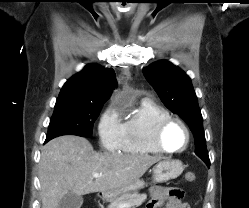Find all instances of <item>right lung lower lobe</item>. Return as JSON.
<instances>
[{
  "label": "right lung lower lobe",
  "instance_id": "1",
  "mask_svg": "<svg viewBox=\"0 0 249 208\" xmlns=\"http://www.w3.org/2000/svg\"><path fill=\"white\" fill-rule=\"evenodd\" d=\"M48 141H49V140H48V139H46L45 143H46V142H48Z\"/></svg>",
  "mask_w": 249,
  "mask_h": 208
}]
</instances>
